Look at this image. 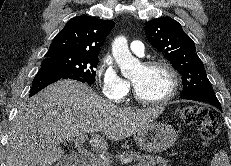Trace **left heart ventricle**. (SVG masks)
<instances>
[{
  "label": "left heart ventricle",
  "mask_w": 231,
  "mask_h": 166,
  "mask_svg": "<svg viewBox=\"0 0 231 166\" xmlns=\"http://www.w3.org/2000/svg\"><path fill=\"white\" fill-rule=\"evenodd\" d=\"M138 94L147 100H158L167 95L171 88L169 73L162 67L139 66L131 76Z\"/></svg>",
  "instance_id": "obj_1"
}]
</instances>
